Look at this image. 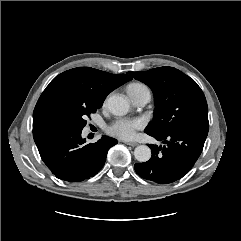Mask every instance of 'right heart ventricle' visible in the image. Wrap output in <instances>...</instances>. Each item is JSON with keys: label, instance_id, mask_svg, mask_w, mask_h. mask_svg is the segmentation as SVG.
<instances>
[{"label": "right heart ventricle", "instance_id": "e07e8e85", "mask_svg": "<svg viewBox=\"0 0 241 241\" xmlns=\"http://www.w3.org/2000/svg\"><path fill=\"white\" fill-rule=\"evenodd\" d=\"M141 90H149L148 87L140 82L132 83L128 86V93H134Z\"/></svg>", "mask_w": 241, "mask_h": 241}]
</instances>
